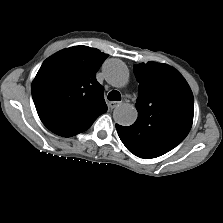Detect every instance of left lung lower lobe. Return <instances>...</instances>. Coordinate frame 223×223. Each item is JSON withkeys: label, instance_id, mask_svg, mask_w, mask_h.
<instances>
[{"label": "left lung lower lobe", "instance_id": "1", "mask_svg": "<svg viewBox=\"0 0 223 223\" xmlns=\"http://www.w3.org/2000/svg\"><path fill=\"white\" fill-rule=\"evenodd\" d=\"M130 152H132L134 155L141 157V158H154V156L145 153V152H140V151H136V150H132V149H128Z\"/></svg>", "mask_w": 223, "mask_h": 223}]
</instances>
